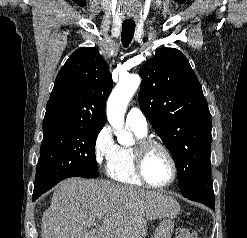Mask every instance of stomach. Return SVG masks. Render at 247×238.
Here are the masks:
<instances>
[{
  "label": "stomach",
  "instance_id": "stomach-1",
  "mask_svg": "<svg viewBox=\"0 0 247 238\" xmlns=\"http://www.w3.org/2000/svg\"><path fill=\"white\" fill-rule=\"evenodd\" d=\"M174 230V222L170 218L163 221L156 228L153 238H171Z\"/></svg>",
  "mask_w": 247,
  "mask_h": 238
}]
</instances>
